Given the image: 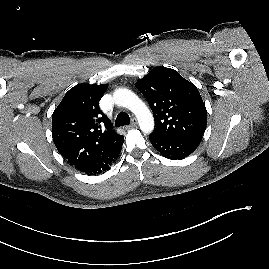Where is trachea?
<instances>
[{
	"instance_id": "1",
	"label": "trachea",
	"mask_w": 269,
	"mask_h": 269,
	"mask_svg": "<svg viewBox=\"0 0 269 269\" xmlns=\"http://www.w3.org/2000/svg\"><path fill=\"white\" fill-rule=\"evenodd\" d=\"M130 124V117L127 113L125 112H120L117 115V118L115 120V126L116 127H120V126H124V125H128Z\"/></svg>"
}]
</instances>
